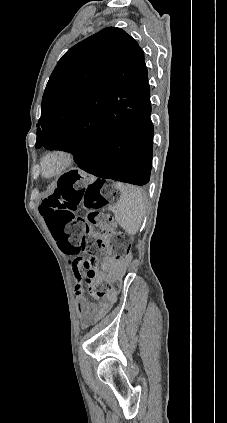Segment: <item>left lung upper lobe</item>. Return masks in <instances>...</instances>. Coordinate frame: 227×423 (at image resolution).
I'll return each mask as SVG.
<instances>
[{"instance_id":"5c2ea615","label":"left lung upper lobe","mask_w":227,"mask_h":423,"mask_svg":"<svg viewBox=\"0 0 227 423\" xmlns=\"http://www.w3.org/2000/svg\"><path fill=\"white\" fill-rule=\"evenodd\" d=\"M144 53L124 30L105 28L69 49L45 88L36 148L83 136L113 111L150 103Z\"/></svg>"}]
</instances>
